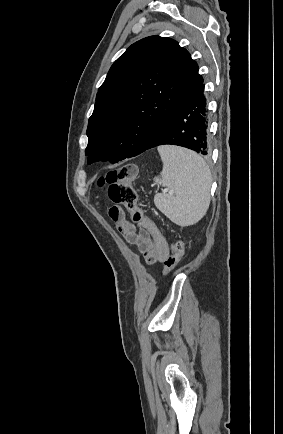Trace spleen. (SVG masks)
Masks as SVG:
<instances>
[{
  "mask_svg": "<svg viewBox=\"0 0 283 434\" xmlns=\"http://www.w3.org/2000/svg\"><path fill=\"white\" fill-rule=\"evenodd\" d=\"M163 162L161 179L155 182L166 186L169 193L154 197L156 207L179 226L197 223L210 204L211 172L202 157L193 151L175 146H160Z\"/></svg>",
  "mask_w": 283,
  "mask_h": 434,
  "instance_id": "obj_1",
  "label": "spleen"
}]
</instances>
